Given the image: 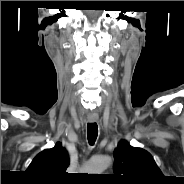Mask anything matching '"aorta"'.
<instances>
[{"instance_id": "762f6f07", "label": "aorta", "mask_w": 184, "mask_h": 184, "mask_svg": "<svg viewBox=\"0 0 184 184\" xmlns=\"http://www.w3.org/2000/svg\"><path fill=\"white\" fill-rule=\"evenodd\" d=\"M110 158L107 156H101L91 160L87 167L89 174H101L110 164Z\"/></svg>"}]
</instances>
